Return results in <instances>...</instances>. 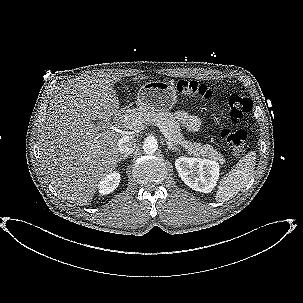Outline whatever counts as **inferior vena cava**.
Masks as SVG:
<instances>
[{
	"label": "inferior vena cava",
	"mask_w": 303,
	"mask_h": 303,
	"mask_svg": "<svg viewBox=\"0 0 303 303\" xmlns=\"http://www.w3.org/2000/svg\"><path fill=\"white\" fill-rule=\"evenodd\" d=\"M136 141L132 136L124 135L118 141V150L121 154H131L135 149Z\"/></svg>",
	"instance_id": "obj_1"
}]
</instances>
